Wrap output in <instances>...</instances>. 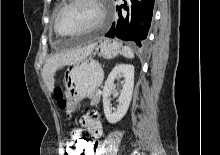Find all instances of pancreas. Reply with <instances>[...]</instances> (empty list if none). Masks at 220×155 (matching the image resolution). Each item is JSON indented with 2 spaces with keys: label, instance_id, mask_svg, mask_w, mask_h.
Masks as SVG:
<instances>
[{
  "label": "pancreas",
  "instance_id": "obj_1",
  "mask_svg": "<svg viewBox=\"0 0 220 155\" xmlns=\"http://www.w3.org/2000/svg\"><path fill=\"white\" fill-rule=\"evenodd\" d=\"M91 105L96 106L100 101V95L95 92L93 95L90 96Z\"/></svg>",
  "mask_w": 220,
  "mask_h": 155
}]
</instances>
